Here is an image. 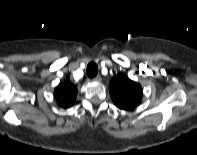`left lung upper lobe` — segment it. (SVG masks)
Instances as JSON below:
<instances>
[{"instance_id": "5c2ea615", "label": "left lung upper lobe", "mask_w": 197, "mask_h": 155, "mask_svg": "<svg viewBox=\"0 0 197 155\" xmlns=\"http://www.w3.org/2000/svg\"><path fill=\"white\" fill-rule=\"evenodd\" d=\"M109 91L114 104L123 110H131L142 99V87L140 84L120 74L112 79Z\"/></svg>"}]
</instances>
